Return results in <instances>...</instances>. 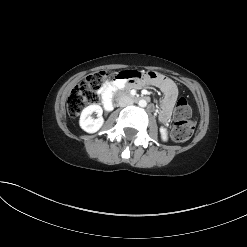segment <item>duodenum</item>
<instances>
[{"instance_id": "410a0bca", "label": "duodenum", "mask_w": 247, "mask_h": 247, "mask_svg": "<svg viewBox=\"0 0 247 247\" xmlns=\"http://www.w3.org/2000/svg\"><path fill=\"white\" fill-rule=\"evenodd\" d=\"M131 91H128L127 89H121L120 91H117V93L115 95H113V106H118L119 104V99L121 98V96H127L129 97V99H133V100H142V97L136 96V95H132Z\"/></svg>"}]
</instances>
